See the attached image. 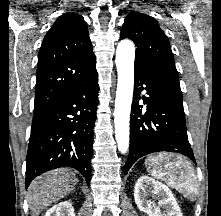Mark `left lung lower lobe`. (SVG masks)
Instances as JSON below:
<instances>
[{"label": "left lung lower lobe", "mask_w": 221, "mask_h": 216, "mask_svg": "<svg viewBox=\"0 0 221 216\" xmlns=\"http://www.w3.org/2000/svg\"><path fill=\"white\" fill-rule=\"evenodd\" d=\"M147 104V112L142 114L139 95ZM169 151L181 153L195 161L188 141L183 108L174 99L155 73L135 63L134 101L130 117V151L124 166L127 174L134 162L142 156L154 152Z\"/></svg>", "instance_id": "0a47b994"}]
</instances>
